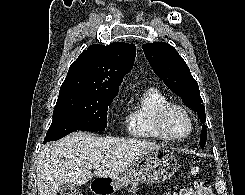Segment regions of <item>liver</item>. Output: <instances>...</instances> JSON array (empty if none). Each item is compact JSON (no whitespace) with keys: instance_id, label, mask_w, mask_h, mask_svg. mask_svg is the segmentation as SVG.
<instances>
[{"instance_id":"1","label":"liver","mask_w":245,"mask_h":195,"mask_svg":"<svg viewBox=\"0 0 245 195\" xmlns=\"http://www.w3.org/2000/svg\"><path fill=\"white\" fill-rule=\"evenodd\" d=\"M161 146L148 141L97 137L73 132L44 146L37 164L38 195H56L62 183L82 185L93 178H112L125 172L141 155ZM102 165L94 173L93 165Z\"/></svg>"}]
</instances>
